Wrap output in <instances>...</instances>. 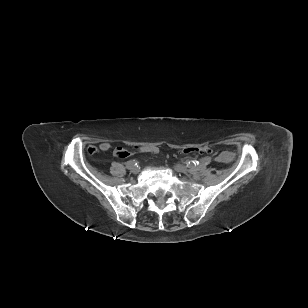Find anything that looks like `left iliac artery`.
<instances>
[{"mask_svg": "<svg viewBox=\"0 0 308 308\" xmlns=\"http://www.w3.org/2000/svg\"><path fill=\"white\" fill-rule=\"evenodd\" d=\"M210 163H211V160L205 157H202L201 159H198L197 161H192V164H194L195 166L201 164L202 167H207Z\"/></svg>", "mask_w": 308, "mask_h": 308, "instance_id": "44dca946", "label": "left iliac artery"}]
</instances>
